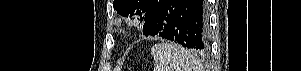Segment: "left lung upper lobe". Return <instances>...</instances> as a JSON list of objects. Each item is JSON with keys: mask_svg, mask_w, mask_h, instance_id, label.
Returning a JSON list of instances; mask_svg holds the SVG:
<instances>
[{"mask_svg": "<svg viewBox=\"0 0 301 71\" xmlns=\"http://www.w3.org/2000/svg\"><path fill=\"white\" fill-rule=\"evenodd\" d=\"M160 0H114L113 6L120 15L138 19L143 23Z\"/></svg>", "mask_w": 301, "mask_h": 71, "instance_id": "1", "label": "left lung upper lobe"}]
</instances>
